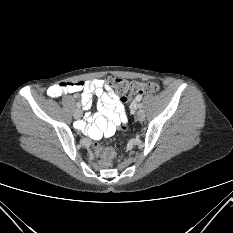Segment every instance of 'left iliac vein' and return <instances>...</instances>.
I'll return each mask as SVG.
<instances>
[{
  "mask_svg": "<svg viewBox=\"0 0 233 233\" xmlns=\"http://www.w3.org/2000/svg\"><path fill=\"white\" fill-rule=\"evenodd\" d=\"M137 119L139 120V121H143L144 119H145V113H144V111L143 110H139L138 112H137Z\"/></svg>",
  "mask_w": 233,
  "mask_h": 233,
  "instance_id": "left-iliac-vein-1",
  "label": "left iliac vein"
}]
</instances>
